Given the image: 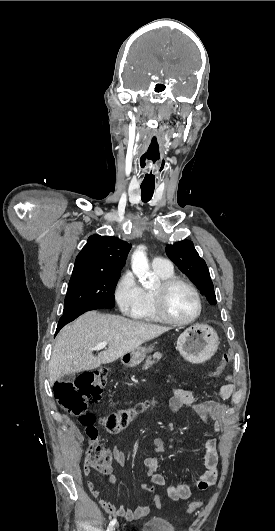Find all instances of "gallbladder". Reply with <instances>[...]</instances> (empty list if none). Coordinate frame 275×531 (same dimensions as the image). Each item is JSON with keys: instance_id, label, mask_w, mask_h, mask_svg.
<instances>
[{"instance_id": "gallbladder-1", "label": "gallbladder", "mask_w": 275, "mask_h": 531, "mask_svg": "<svg viewBox=\"0 0 275 531\" xmlns=\"http://www.w3.org/2000/svg\"><path fill=\"white\" fill-rule=\"evenodd\" d=\"M76 377L73 373V375H64V377H61L59 379L60 383H72V381H75Z\"/></svg>"}]
</instances>
